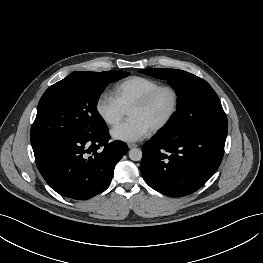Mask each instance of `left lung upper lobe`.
I'll use <instances>...</instances> for the list:
<instances>
[{"instance_id": "obj_1", "label": "left lung upper lobe", "mask_w": 263, "mask_h": 263, "mask_svg": "<svg viewBox=\"0 0 263 263\" xmlns=\"http://www.w3.org/2000/svg\"><path fill=\"white\" fill-rule=\"evenodd\" d=\"M140 72L166 79L176 90L177 111L165 131L184 134L228 125L217 94L205 80L177 69H146Z\"/></svg>"}]
</instances>
